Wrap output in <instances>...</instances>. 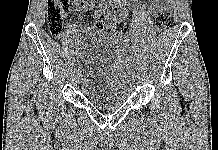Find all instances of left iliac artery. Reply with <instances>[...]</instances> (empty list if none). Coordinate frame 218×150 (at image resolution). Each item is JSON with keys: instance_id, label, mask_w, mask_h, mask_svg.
<instances>
[{"instance_id": "left-iliac-artery-1", "label": "left iliac artery", "mask_w": 218, "mask_h": 150, "mask_svg": "<svg viewBox=\"0 0 218 150\" xmlns=\"http://www.w3.org/2000/svg\"><path fill=\"white\" fill-rule=\"evenodd\" d=\"M135 69H136V68H135L134 66H133L131 69H129V74H132V73L134 74V72H135L134 70H135Z\"/></svg>"}]
</instances>
